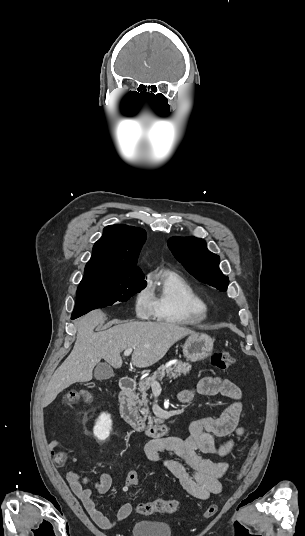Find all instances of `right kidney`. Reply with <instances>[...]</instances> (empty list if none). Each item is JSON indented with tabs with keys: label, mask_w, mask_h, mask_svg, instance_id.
Wrapping results in <instances>:
<instances>
[{
	"label": "right kidney",
	"mask_w": 305,
	"mask_h": 536,
	"mask_svg": "<svg viewBox=\"0 0 305 536\" xmlns=\"http://www.w3.org/2000/svg\"><path fill=\"white\" fill-rule=\"evenodd\" d=\"M111 426L112 420H110L109 414H102L98 422H96V426L93 428L94 436L98 440H106L112 430Z\"/></svg>",
	"instance_id": "ca27d5eb"
}]
</instances>
